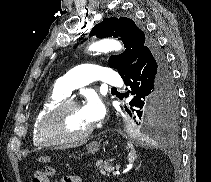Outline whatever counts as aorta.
I'll return each mask as SVG.
<instances>
[{
	"mask_svg": "<svg viewBox=\"0 0 211 182\" xmlns=\"http://www.w3.org/2000/svg\"><path fill=\"white\" fill-rule=\"evenodd\" d=\"M122 49V45L119 41L114 39H102L92 43L89 46V51L92 52H109V51H120Z\"/></svg>",
	"mask_w": 211,
	"mask_h": 182,
	"instance_id": "aorta-1",
	"label": "aorta"
}]
</instances>
